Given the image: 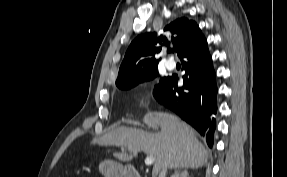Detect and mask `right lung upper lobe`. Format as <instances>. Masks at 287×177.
Here are the masks:
<instances>
[{"label":"right lung upper lobe","instance_id":"right-lung-upper-lobe-1","mask_svg":"<svg viewBox=\"0 0 287 177\" xmlns=\"http://www.w3.org/2000/svg\"><path fill=\"white\" fill-rule=\"evenodd\" d=\"M201 30L187 18L177 19L164 28V33H145L136 37L128 47L120 66L117 84L137 80L158 69V54L162 46L173 45L178 55L187 42Z\"/></svg>","mask_w":287,"mask_h":177}]
</instances>
